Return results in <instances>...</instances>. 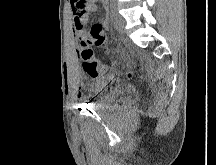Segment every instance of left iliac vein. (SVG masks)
<instances>
[{
  "mask_svg": "<svg viewBox=\"0 0 216 165\" xmlns=\"http://www.w3.org/2000/svg\"><path fill=\"white\" fill-rule=\"evenodd\" d=\"M114 26H115L116 30L119 33H124V30H125V20L118 13H115V15H114Z\"/></svg>",
  "mask_w": 216,
  "mask_h": 165,
  "instance_id": "obj_1",
  "label": "left iliac vein"
}]
</instances>
